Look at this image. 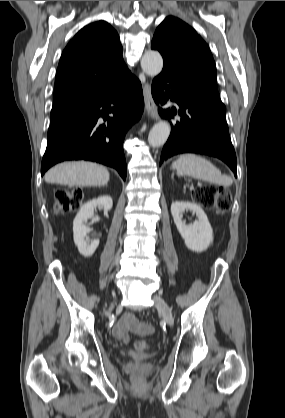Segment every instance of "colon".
Listing matches in <instances>:
<instances>
[{
    "instance_id": "obj_1",
    "label": "colon",
    "mask_w": 285,
    "mask_h": 418,
    "mask_svg": "<svg viewBox=\"0 0 285 418\" xmlns=\"http://www.w3.org/2000/svg\"><path fill=\"white\" fill-rule=\"evenodd\" d=\"M56 204L54 212L56 214L69 213L77 211L82 201V193L79 190L59 189L55 193ZM193 199L208 209H216L220 212H227L230 210L232 199L230 192L217 185L208 184L193 192ZM127 336H123L125 340ZM135 348L140 351H146L149 345L140 341L135 344ZM134 384L137 387L144 386V380L136 376L133 378Z\"/></svg>"
}]
</instances>
